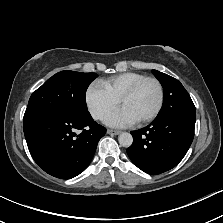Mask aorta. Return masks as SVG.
<instances>
[{"instance_id":"1","label":"aorta","mask_w":223,"mask_h":223,"mask_svg":"<svg viewBox=\"0 0 223 223\" xmlns=\"http://www.w3.org/2000/svg\"><path fill=\"white\" fill-rule=\"evenodd\" d=\"M132 135L128 132H121L118 136V142L123 147H129L132 144Z\"/></svg>"}]
</instances>
